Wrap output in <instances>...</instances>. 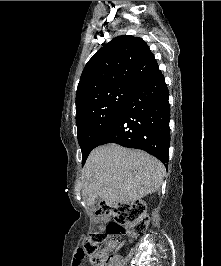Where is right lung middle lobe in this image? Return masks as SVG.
I'll return each instance as SVG.
<instances>
[{
	"label": "right lung middle lobe",
	"mask_w": 221,
	"mask_h": 266,
	"mask_svg": "<svg viewBox=\"0 0 221 266\" xmlns=\"http://www.w3.org/2000/svg\"><path fill=\"white\" fill-rule=\"evenodd\" d=\"M134 89L133 86L119 85L97 90L85 96L76 106L82 165L96 147L100 135L121 112Z\"/></svg>",
	"instance_id": "dd1d6c3e"
}]
</instances>
